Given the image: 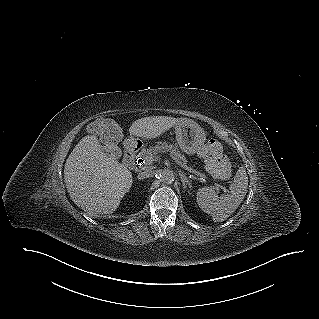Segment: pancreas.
Masks as SVG:
<instances>
[{
    "mask_svg": "<svg viewBox=\"0 0 319 319\" xmlns=\"http://www.w3.org/2000/svg\"><path fill=\"white\" fill-rule=\"evenodd\" d=\"M169 152L170 154H172L173 156L180 158L182 157V160L184 161V163L186 162L185 158L180 154V151L178 150V146L176 144H169L166 142L163 143H158L156 146H151L149 147V149H147V151L143 154V159L145 160L147 165L152 164V162H149V159L152 158H156V155L158 153H166ZM201 176L206 177L205 174H202L200 172H198Z\"/></svg>",
    "mask_w": 319,
    "mask_h": 319,
    "instance_id": "cf45deb5",
    "label": "pancreas"
}]
</instances>
